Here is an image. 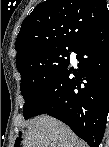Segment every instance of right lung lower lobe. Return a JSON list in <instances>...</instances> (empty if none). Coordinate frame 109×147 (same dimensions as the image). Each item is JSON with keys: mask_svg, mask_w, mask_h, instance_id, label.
Returning a JSON list of instances; mask_svg holds the SVG:
<instances>
[{"mask_svg": "<svg viewBox=\"0 0 109 147\" xmlns=\"http://www.w3.org/2000/svg\"><path fill=\"white\" fill-rule=\"evenodd\" d=\"M72 51L77 53L78 69L67 64L35 116L49 114L67 124L90 147H98L109 110V19L83 37Z\"/></svg>", "mask_w": 109, "mask_h": 147, "instance_id": "right-lung-lower-lobe-1", "label": "right lung lower lobe"}]
</instances>
